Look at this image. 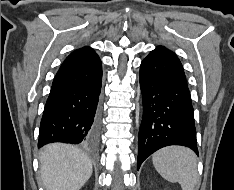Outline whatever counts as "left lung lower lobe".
I'll use <instances>...</instances> for the list:
<instances>
[{
  "label": "left lung lower lobe",
  "instance_id": "1",
  "mask_svg": "<svg viewBox=\"0 0 234 190\" xmlns=\"http://www.w3.org/2000/svg\"><path fill=\"white\" fill-rule=\"evenodd\" d=\"M143 118L138 138L137 170L156 150L189 147L198 155L194 112L184 69L176 54L158 46L140 66Z\"/></svg>",
  "mask_w": 234,
  "mask_h": 190
}]
</instances>
